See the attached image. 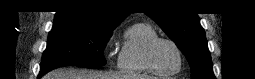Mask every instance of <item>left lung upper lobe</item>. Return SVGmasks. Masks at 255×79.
Returning <instances> with one entry per match:
<instances>
[{"mask_svg":"<svg viewBox=\"0 0 255 79\" xmlns=\"http://www.w3.org/2000/svg\"><path fill=\"white\" fill-rule=\"evenodd\" d=\"M149 15L186 56L192 79H215L205 32L196 13L179 12L170 1H151Z\"/></svg>","mask_w":255,"mask_h":79,"instance_id":"5c2ea615","label":"left lung upper lobe"}]
</instances>
